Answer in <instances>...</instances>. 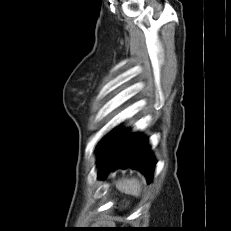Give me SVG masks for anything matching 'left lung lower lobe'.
Instances as JSON below:
<instances>
[{"instance_id": "0a47b994", "label": "left lung lower lobe", "mask_w": 231, "mask_h": 231, "mask_svg": "<svg viewBox=\"0 0 231 231\" xmlns=\"http://www.w3.org/2000/svg\"><path fill=\"white\" fill-rule=\"evenodd\" d=\"M114 131L98 144L99 176L105 179L111 170L131 167L139 169L147 177L148 182L151 181L155 159L150 151L147 138L138 134H129L128 131L110 138Z\"/></svg>"}]
</instances>
